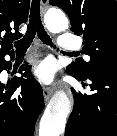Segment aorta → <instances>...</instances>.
<instances>
[{
    "instance_id": "obj_1",
    "label": "aorta",
    "mask_w": 117,
    "mask_h": 136,
    "mask_svg": "<svg viewBox=\"0 0 117 136\" xmlns=\"http://www.w3.org/2000/svg\"><path fill=\"white\" fill-rule=\"evenodd\" d=\"M45 22L53 32H63L68 28V19L60 10L48 11ZM71 112V103L62 93H56L48 103L40 121L39 136H61L64 132L66 119Z\"/></svg>"
}]
</instances>
